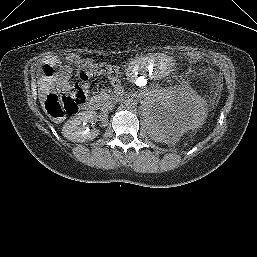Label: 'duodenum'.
Masks as SVG:
<instances>
[{
	"mask_svg": "<svg viewBox=\"0 0 257 257\" xmlns=\"http://www.w3.org/2000/svg\"><path fill=\"white\" fill-rule=\"evenodd\" d=\"M112 100L114 102H120L123 100V94L120 91H117L113 96H112ZM84 109L87 112H92L95 110V103L93 101H89L84 105Z\"/></svg>",
	"mask_w": 257,
	"mask_h": 257,
	"instance_id": "duodenum-1",
	"label": "duodenum"
}]
</instances>
